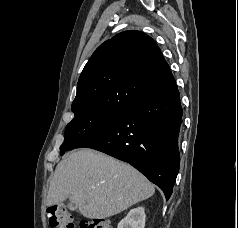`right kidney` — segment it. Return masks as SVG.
<instances>
[{"label":"right kidney","instance_id":"1","mask_svg":"<svg viewBox=\"0 0 238 228\" xmlns=\"http://www.w3.org/2000/svg\"><path fill=\"white\" fill-rule=\"evenodd\" d=\"M145 218L143 207L134 208L118 223L117 228H145Z\"/></svg>","mask_w":238,"mask_h":228}]
</instances>
